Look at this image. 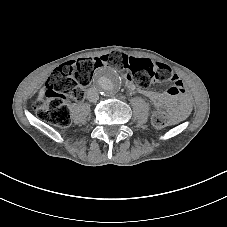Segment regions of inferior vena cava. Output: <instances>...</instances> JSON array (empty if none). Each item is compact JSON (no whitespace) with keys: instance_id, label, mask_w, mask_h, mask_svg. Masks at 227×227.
Here are the masks:
<instances>
[{"instance_id":"inferior-vena-cava-1","label":"inferior vena cava","mask_w":227,"mask_h":227,"mask_svg":"<svg viewBox=\"0 0 227 227\" xmlns=\"http://www.w3.org/2000/svg\"><path fill=\"white\" fill-rule=\"evenodd\" d=\"M87 98L90 102H96L99 99V93L96 88H89Z\"/></svg>"}]
</instances>
